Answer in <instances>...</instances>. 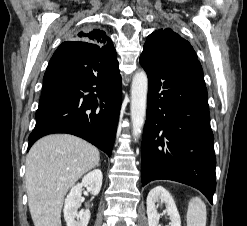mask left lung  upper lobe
Returning <instances> with one entry per match:
<instances>
[{"label": "left lung upper lobe", "instance_id": "5c2ea615", "mask_svg": "<svg viewBox=\"0 0 247 226\" xmlns=\"http://www.w3.org/2000/svg\"><path fill=\"white\" fill-rule=\"evenodd\" d=\"M143 53L171 61L197 59L190 43L171 29H160L151 33L144 44Z\"/></svg>", "mask_w": 247, "mask_h": 226}]
</instances>
